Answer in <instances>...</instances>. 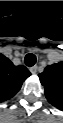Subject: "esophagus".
Instances as JSON below:
<instances>
[{
    "instance_id": "34e87169",
    "label": "esophagus",
    "mask_w": 63,
    "mask_h": 123,
    "mask_svg": "<svg viewBox=\"0 0 63 123\" xmlns=\"http://www.w3.org/2000/svg\"><path fill=\"white\" fill-rule=\"evenodd\" d=\"M37 69H38V67L35 65V66H32L31 68H30V72L32 73V74H35L36 72H37Z\"/></svg>"
}]
</instances>
